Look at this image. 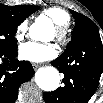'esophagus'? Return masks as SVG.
Returning <instances> with one entry per match:
<instances>
[{
	"mask_svg": "<svg viewBox=\"0 0 103 103\" xmlns=\"http://www.w3.org/2000/svg\"><path fill=\"white\" fill-rule=\"evenodd\" d=\"M32 66L34 69H37L41 66V64H38V63H32Z\"/></svg>",
	"mask_w": 103,
	"mask_h": 103,
	"instance_id": "34e87169",
	"label": "esophagus"
}]
</instances>
